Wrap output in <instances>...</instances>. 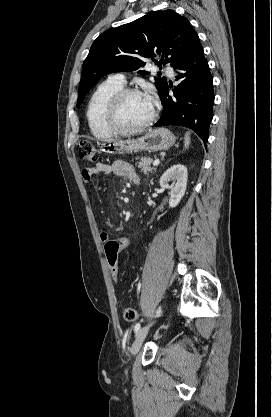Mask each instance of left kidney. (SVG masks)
<instances>
[{"mask_svg": "<svg viewBox=\"0 0 272 417\" xmlns=\"http://www.w3.org/2000/svg\"><path fill=\"white\" fill-rule=\"evenodd\" d=\"M188 172L184 165L177 164L170 167L160 178V186L170 190L169 207H176L185 194ZM173 182L171 185L170 182Z\"/></svg>", "mask_w": 272, "mask_h": 417, "instance_id": "5707ae66", "label": "left kidney"}]
</instances>
